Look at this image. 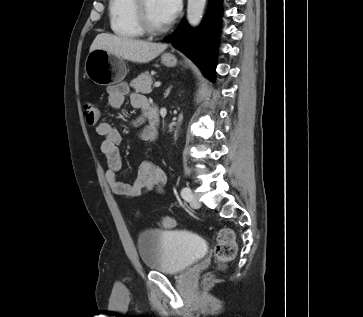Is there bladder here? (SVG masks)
<instances>
[{"instance_id":"bladder-1","label":"bladder","mask_w":363,"mask_h":317,"mask_svg":"<svg viewBox=\"0 0 363 317\" xmlns=\"http://www.w3.org/2000/svg\"><path fill=\"white\" fill-rule=\"evenodd\" d=\"M141 263L166 275L186 271L207 252L204 239L185 230L147 229L137 236Z\"/></svg>"}]
</instances>
